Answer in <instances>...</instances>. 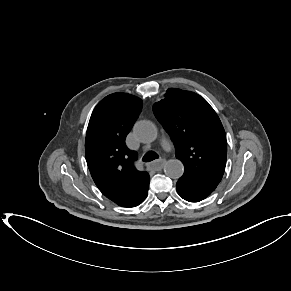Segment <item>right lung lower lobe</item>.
<instances>
[{
	"label": "right lung lower lobe",
	"mask_w": 291,
	"mask_h": 291,
	"mask_svg": "<svg viewBox=\"0 0 291 291\" xmlns=\"http://www.w3.org/2000/svg\"><path fill=\"white\" fill-rule=\"evenodd\" d=\"M146 196H144V198L140 202H138V203H136V204H134L132 206H126V207H135V206H138L139 204H141L145 200Z\"/></svg>",
	"instance_id": "obj_1"
}]
</instances>
